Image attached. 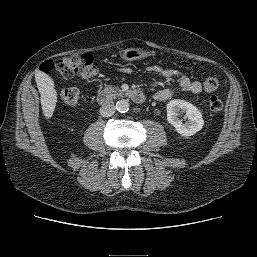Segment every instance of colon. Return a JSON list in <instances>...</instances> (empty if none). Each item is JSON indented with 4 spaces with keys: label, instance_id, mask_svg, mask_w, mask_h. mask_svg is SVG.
<instances>
[{
    "label": "colon",
    "instance_id": "obj_1",
    "mask_svg": "<svg viewBox=\"0 0 257 257\" xmlns=\"http://www.w3.org/2000/svg\"><path fill=\"white\" fill-rule=\"evenodd\" d=\"M42 70L45 72H54L60 78L67 80L74 75L83 77H92L96 73L93 57L90 54L72 55L62 57L54 61H46ZM206 92H215L219 86L217 78L208 76L203 82ZM81 94L78 89L67 88L61 92V99L69 105L79 102ZM209 108L212 112H220L223 108V102L217 95H212L209 99Z\"/></svg>",
    "mask_w": 257,
    "mask_h": 257
}]
</instances>
